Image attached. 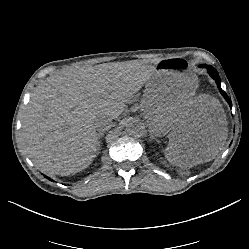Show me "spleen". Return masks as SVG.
<instances>
[{
    "label": "spleen",
    "instance_id": "obj_1",
    "mask_svg": "<svg viewBox=\"0 0 249 249\" xmlns=\"http://www.w3.org/2000/svg\"><path fill=\"white\" fill-rule=\"evenodd\" d=\"M168 152H170L171 155H168ZM165 156L167 157L168 160H170V159L175 160V157H173V155H172V149L167 148L165 150Z\"/></svg>",
    "mask_w": 249,
    "mask_h": 249
}]
</instances>
